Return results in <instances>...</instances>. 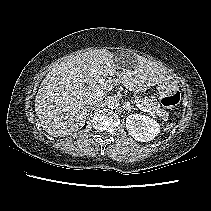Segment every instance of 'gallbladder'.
<instances>
[{
  "instance_id": "obj_1",
  "label": "gallbladder",
  "mask_w": 211,
  "mask_h": 211,
  "mask_svg": "<svg viewBox=\"0 0 211 211\" xmlns=\"http://www.w3.org/2000/svg\"><path fill=\"white\" fill-rule=\"evenodd\" d=\"M124 54H127L126 52H117L116 55L117 56H123ZM117 62V61H116Z\"/></svg>"
}]
</instances>
